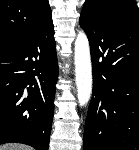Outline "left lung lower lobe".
I'll return each instance as SVG.
<instances>
[{
	"instance_id": "0a47b994",
	"label": "left lung lower lobe",
	"mask_w": 139,
	"mask_h": 150,
	"mask_svg": "<svg viewBox=\"0 0 139 150\" xmlns=\"http://www.w3.org/2000/svg\"><path fill=\"white\" fill-rule=\"evenodd\" d=\"M93 67L83 150H139V10H82Z\"/></svg>"
}]
</instances>
